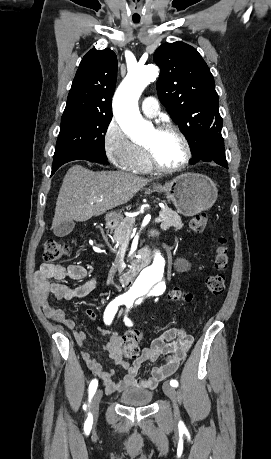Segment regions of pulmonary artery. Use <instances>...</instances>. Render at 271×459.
Instances as JSON below:
<instances>
[{
    "label": "pulmonary artery",
    "mask_w": 271,
    "mask_h": 459,
    "mask_svg": "<svg viewBox=\"0 0 271 459\" xmlns=\"http://www.w3.org/2000/svg\"><path fill=\"white\" fill-rule=\"evenodd\" d=\"M154 80V79H153ZM142 112L148 117H155L160 111V106L155 95H150L142 101Z\"/></svg>",
    "instance_id": "1"
}]
</instances>
